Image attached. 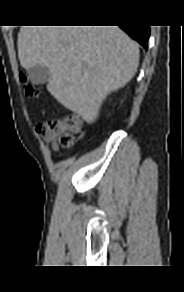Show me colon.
Returning <instances> with one entry per match:
<instances>
[{
	"label": "colon",
	"instance_id": "obj_1",
	"mask_svg": "<svg viewBox=\"0 0 184 292\" xmlns=\"http://www.w3.org/2000/svg\"><path fill=\"white\" fill-rule=\"evenodd\" d=\"M24 91L28 96L36 97L39 90L27 84L26 78L21 74ZM37 133L46 142L51 143L55 149L71 147L83 137V125L76 115H67L61 118L49 119L37 126Z\"/></svg>",
	"mask_w": 184,
	"mask_h": 292
}]
</instances>
